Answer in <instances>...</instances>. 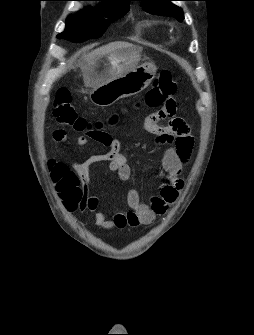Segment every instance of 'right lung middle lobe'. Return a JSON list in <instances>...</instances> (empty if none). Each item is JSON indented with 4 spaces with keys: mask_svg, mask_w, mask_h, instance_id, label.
<instances>
[{
    "mask_svg": "<svg viewBox=\"0 0 254 335\" xmlns=\"http://www.w3.org/2000/svg\"><path fill=\"white\" fill-rule=\"evenodd\" d=\"M129 11V5H102L96 9L82 10L78 15H70L66 20V29L57 38L73 42L100 37L111 22L121 18ZM95 16H102L107 19Z\"/></svg>",
    "mask_w": 254,
    "mask_h": 335,
    "instance_id": "dd1d6c3e",
    "label": "right lung middle lobe"
}]
</instances>
